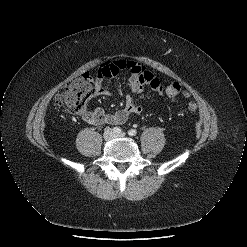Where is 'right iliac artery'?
<instances>
[{
  "instance_id": "82829eb1",
  "label": "right iliac artery",
  "mask_w": 247,
  "mask_h": 247,
  "mask_svg": "<svg viewBox=\"0 0 247 247\" xmlns=\"http://www.w3.org/2000/svg\"><path fill=\"white\" fill-rule=\"evenodd\" d=\"M121 131H122V130H121V128H119V127H114V128H113V132L116 133V134H120Z\"/></svg>"
}]
</instances>
